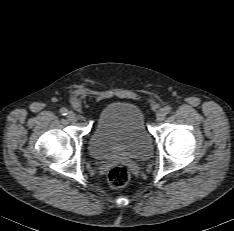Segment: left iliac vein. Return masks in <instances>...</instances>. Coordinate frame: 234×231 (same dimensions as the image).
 <instances>
[{
  "label": "left iliac vein",
  "instance_id": "left-iliac-vein-1",
  "mask_svg": "<svg viewBox=\"0 0 234 231\" xmlns=\"http://www.w3.org/2000/svg\"><path fill=\"white\" fill-rule=\"evenodd\" d=\"M165 117H166V113L164 110L159 111L156 116L158 121H163Z\"/></svg>",
  "mask_w": 234,
  "mask_h": 231
}]
</instances>
